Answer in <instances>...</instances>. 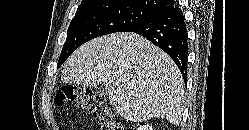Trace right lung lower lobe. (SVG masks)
Wrapping results in <instances>:
<instances>
[{
	"label": "right lung lower lobe",
	"mask_w": 249,
	"mask_h": 130,
	"mask_svg": "<svg viewBox=\"0 0 249 130\" xmlns=\"http://www.w3.org/2000/svg\"><path fill=\"white\" fill-rule=\"evenodd\" d=\"M126 32L140 34L165 51L176 63L186 82L187 30L183 12L179 7L174 6L152 20L130 27Z\"/></svg>",
	"instance_id": "right-lung-lower-lobe-1"
}]
</instances>
